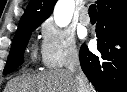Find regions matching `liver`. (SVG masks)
Returning <instances> with one entry per match:
<instances>
[{
    "instance_id": "1",
    "label": "liver",
    "mask_w": 127,
    "mask_h": 92,
    "mask_svg": "<svg viewBox=\"0 0 127 92\" xmlns=\"http://www.w3.org/2000/svg\"><path fill=\"white\" fill-rule=\"evenodd\" d=\"M88 92H95L88 83ZM5 92H78L75 75L66 69H55L37 75H23L11 80Z\"/></svg>"
}]
</instances>
